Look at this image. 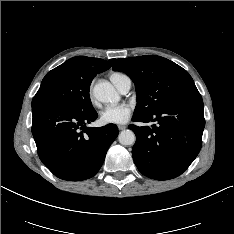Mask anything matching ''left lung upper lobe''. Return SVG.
I'll use <instances>...</instances> for the list:
<instances>
[{"label": "left lung upper lobe", "instance_id": "5c2ea615", "mask_svg": "<svg viewBox=\"0 0 234 234\" xmlns=\"http://www.w3.org/2000/svg\"><path fill=\"white\" fill-rule=\"evenodd\" d=\"M113 70L127 74L136 86L137 105L133 118L153 114L173 101L198 93L186 70L160 56L117 59Z\"/></svg>", "mask_w": 234, "mask_h": 234}]
</instances>
